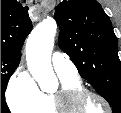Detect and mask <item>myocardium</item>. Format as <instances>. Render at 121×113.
<instances>
[{
    "instance_id": "f54148a6",
    "label": "myocardium",
    "mask_w": 121,
    "mask_h": 113,
    "mask_svg": "<svg viewBox=\"0 0 121 113\" xmlns=\"http://www.w3.org/2000/svg\"><path fill=\"white\" fill-rule=\"evenodd\" d=\"M89 96L95 97L99 101H101V103L105 107V113H111L110 103L104 96L82 87H72V88L62 87L61 90L57 91L54 94V101L58 110L68 111V110L79 109L75 107V105H77L83 98ZM62 113H74V112H62Z\"/></svg>"
}]
</instances>
